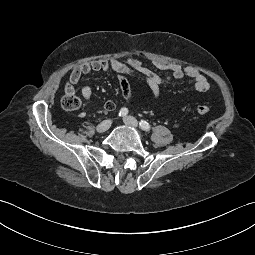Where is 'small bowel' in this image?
<instances>
[{
	"label": "small bowel",
	"instance_id": "1",
	"mask_svg": "<svg viewBox=\"0 0 255 255\" xmlns=\"http://www.w3.org/2000/svg\"><path fill=\"white\" fill-rule=\"evenodd\" d=\"M155 68L169 72V75L161 77L156 74L152 69L144 65L134 57H127L123 60L111 59L110 61L97 60L90 61L76 66L70 77L69 82L66 84L65 92H74L76 86L82 76L91 72H101L111 69L119 77V86L123 98L129 102L132 99L130 84L126 76H140L148 84L152 96L158 99L160 96L161 86L173 79H182L189 77L193 80L194 87L200 92H206L210 89V82L208 78L194 68H183L178 64L167 63L164 61L156 60L153 62ZM81 94L86 102L87 111L90 109V100L93 94L91 86L86 85L82 88ZM116 108V103L113 100H108L104 104V109L108 112Z\"/></svg>",
	"mask_w": 255,
	"mask_h": 255
}]
</instances>
